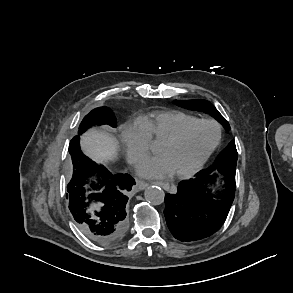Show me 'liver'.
I'll list each match as a JSON object with an SVG mask.
<instances>
[{
	"label": "liver",
	"mask_w": 293,
	"mask_h": 293,
	"mask_svg": "<svg viewBox=\"0 0 293 293\" xmlns=\"http://www.w3.org/2000/svg\"><path fill=\"white\" fill-rule=\"evenodd\" d=\"M81 149L92 160L106 163L116 157L118 142L105 131L91 129L81 137Z\"/></svg>",
	"instance_id": "6515ba94"
}]
</instances>
